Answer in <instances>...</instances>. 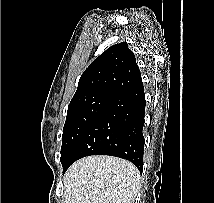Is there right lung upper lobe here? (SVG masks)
<instances>
[{
    "mask_svg": "<svg viewBox=\"0 0 214 203\" xmlns=\"http://www.w3.org/2000/svg\"><path fill=\"white\" fill-rule=\"evenodd\" d=\"M142 84L134 53L126 42L109 47L81 75L72 100L89 95L115 97Z\"/></svg>",
    "mask_w": 214,
    "mask_h": 203,
    "instance_id": "obj_1",
    "label": "right lung upper lobe"
}]
</instances>
